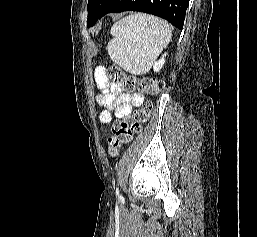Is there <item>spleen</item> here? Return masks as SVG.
Returning a JSON list of instances; mask_svg holds the SVG:
<instances>
[{
  "label": "spleen",
  "mask_w": 257,
  "mask_h": 237,
  "mask_svg": "<svg viewBox=\"0 0 257 237\" xmlns=\"http://www.w3.org/2000/svg\"><path fill=\"white\" fill-rule=\"evenodd\" d=\"M111 35L107 46L110 58L125 71L140 75L156 63L172 33L165 21L136 13L116 22Z\"/></svg>",
  "instance_id": "1"
}]
</instances>
